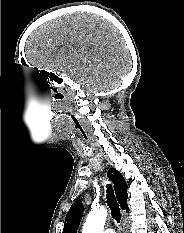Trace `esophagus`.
Listing matches in <instances>:
<instances>
[{
  "label": "esophagus",
  "mask_w": 184,
  "mask_h": 233,
  "mask_svg": "<svg viewBox=\"0 0 184 233\" xmlns=\"http://www.w3.org/2000/svg\"><path fill=\"white\" fill-rule=\"evenodd\" d=\"M123 229H125V222L124 220L122 221Z\"/></svg>",
  "instance_id": "1"
}]
</instances>
